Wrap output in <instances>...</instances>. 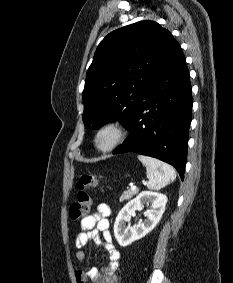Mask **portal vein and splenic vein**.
<instances>
[{"instance_id": "18ae733b", "label": "portal vein and splenic vein", "mask_w": 233, "mask_h": 283, "mask_svg": "<svg viewBox=\"0 0 233 283\" xmlns=\"http://www.w3.org/2000/svg\"><path fill=\"white\" fill-rule=\"evenodd\" d=\"M131 190H132V191H135V190H137V186H135V185H132V186H131Z\"/></svg>"}]
</instances>
